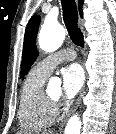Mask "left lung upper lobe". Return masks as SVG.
I'll list each match as a JSON object with an SVG mask.
<instances>
[{
	"label": "left lung upper lobe",
	"mask_w": 116,
	"mask_h": 134,
	"mask_svg": "<svg viewBox=\"0 0 116 134\" xmlns=\"http://www.w3.org/2000/svg\"><path fill=\"white\" fill-rule=\"evenodd\" d=\"M40 23V16H33L25 32L24 47H23V59L21 68V77H24L29 69L31 68L33 62L37 57V50L35 45V40L38 32V27Z\"/></svg>",
	"instance_id": "obj_1"
}]
</instances>
